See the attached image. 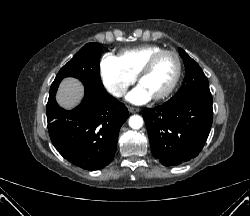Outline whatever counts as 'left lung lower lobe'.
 Returning a JSON list of instances; mask_svg holds the SVG:
<instances>
[{"instance_id": "0a47b994", "label": "left lung lower lobe", "mask_w": 250, "mask_h": 216, "mask_svg": "<svg viewBox=\"0 0 250 216\" xmlns=\"http://www.w3.org/2000/svg\"><path fill=\"white\" fill-rule=\"evenodd\" d=\"M212 103L211 98L190 97L145 108L143 118L154 157L167 167L196 157L212 126Z\"/></svg>"}]
</instances>
